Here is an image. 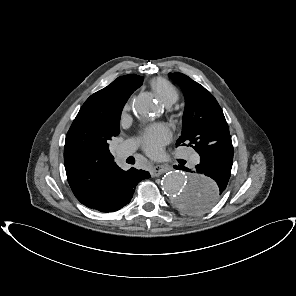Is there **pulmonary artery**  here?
Returning <instances> with one entry per match:
<instances>
[{"instance_id": "pulmonary-artery-1", "label": "pulmonary artery", "mask_w": 296, "mask_h": 296, "mask_svg": "<svg viewBox=\"0 0 296 296\" xmlns=\"http://www.w3.org/2000/svg\"><path fill=\"white\" fill-rule=\"evenodd\" d=\"M136 149V142L134 140H127L116 149V158L118 160H123ZM188 159L191 164H197L200 161V157L196 153H191L188 155Z\"/></svg>"}]
</instances>
